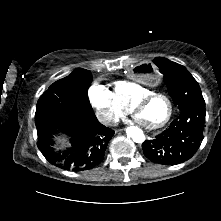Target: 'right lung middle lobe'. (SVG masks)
<instances>
[{
	"instance_id": "dd1d6c3e",
	"label": "right lung middle lobe",
	"mask_w": 221,
	"mask_h": 221,
	"mask_svg": "<svg viewBox=\"0 0 221 221\" xmlns=\"http://www.w3.org/2000/svg\"><path fill=\"white\" fill-rule=\"evenodd\" d=\"M90 81V72L77 68L69 78L65 77L53 83L37 102V129L54 124L67 116L95 117L87 94Z\"/></svg>"
}]
</instances>
